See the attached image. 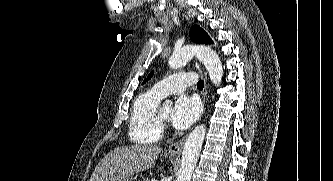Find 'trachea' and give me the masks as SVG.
<instances>
[{
	"label": "trachea",
	"mask_w": 333,
	"mask_h": 181,
	"mask_svg": "<svg viewBox=\"0 0 333 181\" xmlns=\"http://www.w3.org/2000/svg\"><path fill=\"white\" fill-rule=\"evenodd\" d=\"M204 87V82L202 80H199L198 83H197V88L198 89H203Z\"/></svg>",
	"instance_id": "obj_1"
}]
</instances>
